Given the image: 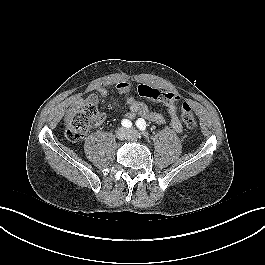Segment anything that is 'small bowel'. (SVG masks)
<instances>
[{"label":"small bowel","instance_id":"obj_1","mask_svg":"<svg viewBox=\"0 0 265 265\" xmlns=\"http://www.w3.org/2000/svg\"><path fill=\"white\" fill-rule=\"evenodd\" d=\"M116 89L118 93L122 94L125 98L126 104L128 106V110L126 111V116L128 118L134 119L135 117L139 116L142 119H145L155 124L165 123V117L163 114L151 111L146 104H144L139 100H136L132 96L130 91V85L128 83H119L116 86ZM166 93H173V92L166 91ZM99 97L109 98L110 93L106 88H99L97 94L89 95L85 101L97 104L99 102ZM158 102H161L166 107L167 112L170 116L172 128L176 132L182 133L183 126L177 115V105H176L177 100H167V101H158Z\"/></svg>","mask_w":265,"mask_h":265}]
</instances>
